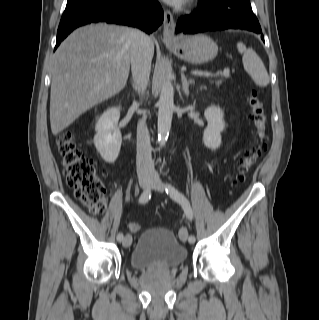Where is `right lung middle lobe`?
<instances>
[{"instance_id": "right-lung-middle-lobe-1", "label": "right lung middle lobe", "mask_w": 319, "mask_h": 320, "mask_svg": "<svg viewBox=\"0 0 319 320\" xmlns=\"http://www.w3.org/2000/svg\"><path fill=\"white\" fill-rule=\"evenodd\" d=\"M84 0H68L66 8H71L73 6L78 5L79 3L83 2Z\"/></svg>"}]
</instances>
